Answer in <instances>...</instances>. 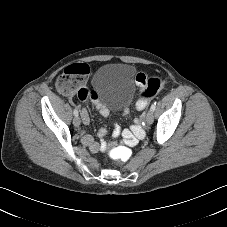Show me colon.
<instances>
[{
	"label": "colon",
	"instance_id": "colon-1",
	"mask_svg": "<svg viewBox=\"0 0 227 227\" xmlns=\"http://www.w3.org/2000/svg\"><path fill=\"white\" fill-rule=\"evenodd\" d=\"M75 67H70L58 79V86L67 94H75L81 100L87 99L85 89L79 87V78ZM136 83L139 87L137 94V107L139 111H143L148 102L154 98L162 88V81L159 77H146L142 73L136 75ZM135 141V136L128 135L125 142L128 146ZM105 149L109 152L114 164L124 165L129 161L130 150L128 148H113V145L104 144Z\"/></svg>",
	"mask_w": 227,
	"mask_h": 227
}]
</instances>
